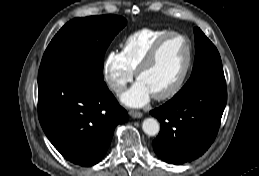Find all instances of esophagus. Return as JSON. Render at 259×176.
Masks as SVG:
<instances>
[{
    "label": "esophagus",
    "instance_id": "esophagus-1",
    "mask_svg": "<svg viewBox=\"0 0 259 176\" xmlns=\"http://www.w3.org/2000/svg\"><path fill=\"white\" fill-rule=\"evenodd\" d=\"M130 116L133 118H141L142 117V113L139 111H135V110H131L129 112Z\"/></svg>",
    "mask_w": 259,
    "mask_h": 176
}]
</instances>
